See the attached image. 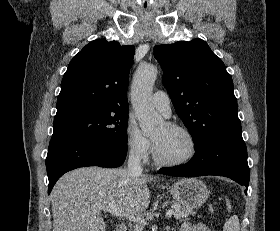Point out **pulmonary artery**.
Wrapping results in <instances>:
<instances>
[{
	"label": "pulmonary artery",
	"instance_id": "pulmonary-artery-1",
	"mask_svg": "<svg viewBox=\"0 0 280 231\" xmlns=\"http://www.w3.org/2000/svg\"><path fill=\"white\" fill-rule=\"evenodd\" d=\"M152 104L164 116L168 117L171 114L170 98L165 91L157 90L152 95Z\"/></svg>",
	"mask_w": 280,
	"mask_h": 231
}]
</instances>
